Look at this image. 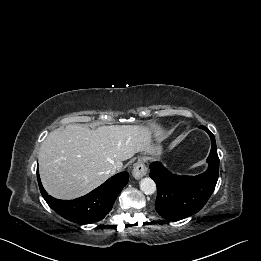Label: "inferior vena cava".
Masks as SVG:
<instances>
[{"mask_svg":"<svg viewBox=\"0 0 261 261\" xmlns=\"http://www.w3.org/2000/svg\"><path fill=\"white\" fill-rule=\"evenodd\" d=\"M121 170L120 167L114 166L111 170H110V174L113 175L116 172H119Z\"/></svg>","mask_w":261,"mask_h":261,"instance_id":"obj_1","label":"inferior vena cava"}]
</instances>
